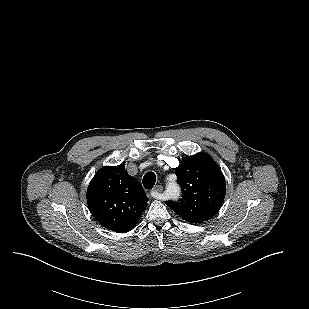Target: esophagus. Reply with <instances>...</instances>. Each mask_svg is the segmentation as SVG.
Listing matches in <instances>:
<instances>
[{"label": "esophagus", "instance_id": "1", "mask_svg": "<svg viewBox=\"0 0 309 309\" xmlns=\"http://www.w3.org/2000/svg\"><path fill=\"white\" fill-rule=\"evenodd\" d=\"M162 191H163V187L160 186V185H157V186L153 189L151 195H152V197H154V198H156V199H161V192H162Z\"/></svg>", "mask_w": 309, "mask_h": 309}]
</instances>
